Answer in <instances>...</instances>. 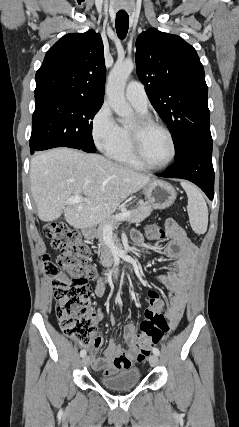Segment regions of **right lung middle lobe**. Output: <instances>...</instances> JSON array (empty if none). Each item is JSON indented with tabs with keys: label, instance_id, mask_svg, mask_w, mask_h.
<instances>
[{
	"label": "right lung middle lobe",
	"instance_id": "obj_1",
	"mask_svg": "<svg viewBox=\"0 0 239 427\" xmlns=\"http://www.w3.org/2000/svg\"><path fill=\"white\" fill-rule=\"evenodd\" d=\"M30 138L31 152L70 147L96 152L92 119L102 103L72 99L35 100Z\"/></svg>",
	"mask_w": 239,
	"mask_h": 427
}]
</instances>
